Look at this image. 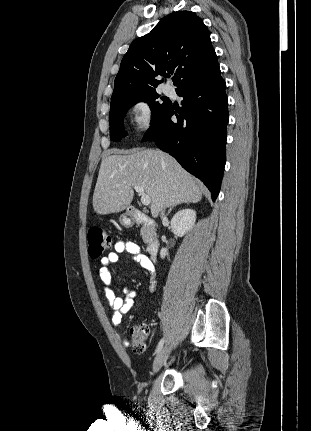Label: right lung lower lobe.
Listing matches in <instances>:
<instances>
[{
	"mask_svg": "<svg viewBox=\"0 0 311 431\" xmlns=\"http://www.w3.org/2000/svg\"><path fill=\"white\" fill-rule=\"evenodd\" d=\"M226 83L220 69L182 85L180 111L172 105L151 122L142 141H155L188 172L218 196L225 166L226 125L229 120ZM174 109L178 112H174ZM177 121H172V115Z\"/></svg>",
	"mask_w": 311,
	"mask_h": 431,
	"instance_id": "98d812e1",
	"label": "right lung lower lobe"
}]
</instances>
